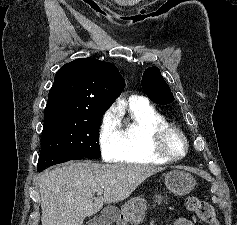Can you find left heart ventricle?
<instances>
[{"label":"left heart ventricle","mask_w":237,"mask_h":225,"mask_svg":"<svg viewBox=\"0 0 237 225\" xmlns=\"http://www.w3.org/2000/svg\"><path fill=\"white\" fill-rule=\"evenodd\" d=\"M169 145L172 151H174L175 153H180L182 151V144L178 138H172Z\"/></svg>","instance_id":"left-heart-ventricle-1"}]
</instances>
